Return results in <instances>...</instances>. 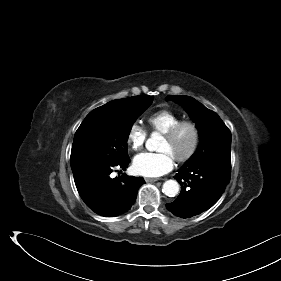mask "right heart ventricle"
Masks as SVG:
<instances>
[{
	"label": "right heart ventricle",
	"mask_w": 281,
	"mask_h": 281,
	"mask_svg": "<svg viewBox=\"0 0 281 281\" xmlns=\"http://www.w3.org/2000/svg\"><path fill=\"white\" fill-rule=\"evenodd\" d=\"M179 121H181L180 116L166 109L156 111L147 118L150 129L161 134L167 132Z\"/></svg>",
	"instance_id": "right-heart-ventricle-1"
}]
</instances>
